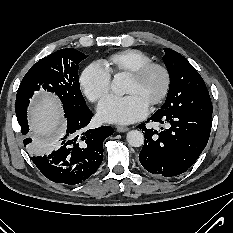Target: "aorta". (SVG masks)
I'll return each mask as SVG.
<instances>
[{"label": "aorta", "instance_id": "1", "mask_svg": "<svg viewBox=\"0 0 233 233\" xmlns=\"http://www.w3.org/2000/svg\"><path fill=\"white\" fill-rule=\"evenodd\" d=\"M111 89L116 95L125 94L126 81L122 74H116L111 83ZM127 142L132 147H140L144 144V135L141 131L131 130L127 133Z\"/></svg>", "mask_w": 233, "mask_h": 233}]
</instances>
